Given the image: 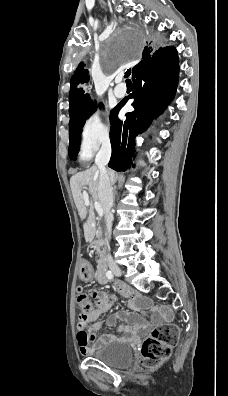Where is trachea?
Returning <instances> with one entry per match:
<instances>
[{
	"mask_svg": "<svg viewBox=\"0 0 228 396\" xmlns=\"http://www.w3.org/2000/svg\"><path fill=\"white\" fill-rule=\"evenodd\" d=\"M130 74H131V70L128 69V70L125 72V75H124V77L126 78V83H127V84L131 82L130 79H129Z\"/></svg>",
	"mask_w": 228,
	"mask_h": 396,
	"instance_id": "3493384b",
	"label": "trachea"
}]
</instances>
